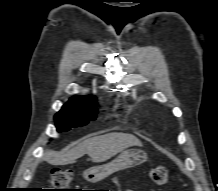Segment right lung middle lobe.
<instances>
[{"instance_id": "1", "label": "right lung middle lobe", "mask_w": 218, "mask_h": 191, "mask_svg": "<svg viewBox=\"0 0 218 191\" xmlns=\"http://www.w3.org/2000/svg\"><path fill=\"white\" fill-rule=\"evenodd\" d=\"M94 104L95 100L70 99L54 117L57 131L65 132L94 120L97 114Z\"/></svg>"}]
</instances>
